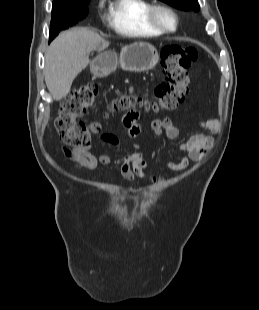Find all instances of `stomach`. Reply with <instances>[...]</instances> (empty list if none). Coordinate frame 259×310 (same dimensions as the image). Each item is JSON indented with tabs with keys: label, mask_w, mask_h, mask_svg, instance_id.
I'll use <instances>...</instances> for the list:
<instances>
[{
	"label": "stomach",
	"mask_w": 259,
	"mask_h": 310,
	"mask_svg": "<svg viewBox=\"0 0 259 310\" xmlns=\"http://www.w3.org/2000/svg\"><path fill=\"white\" fill-rule=\"evenodd\" d=\"M159 61L156 48L146 42H136L122 48L119 60L112 51L98 55L91 63V71L104 77L115 71L117 64L125 71L144 72L153 69Z\"/></svg>",
	"instance_id": "obj_1"
}]
</instances>
